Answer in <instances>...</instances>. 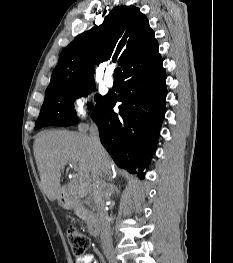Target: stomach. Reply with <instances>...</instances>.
I'll return each instance as SVG.
<instances>
[{"instance_id": "stomach-1", "label": "stomach", "mask_w": 233, "mask_h": 263, "mask_svg": "<svg viewBox=\"0 0 233 263\" xmlns=\"http://www.w3.org/2000/svg\"><path fill=\"white\" fill-rule=\"evenodd\" d=\"M58 203H59V205L60 206H62L63 208H68L69 206H70V203H69V200H68V198L66 197V196H60L59 198H58Z\"/></svg>"}]
</instances>
